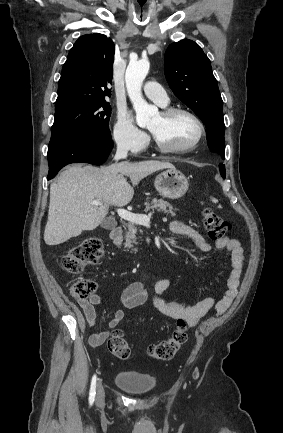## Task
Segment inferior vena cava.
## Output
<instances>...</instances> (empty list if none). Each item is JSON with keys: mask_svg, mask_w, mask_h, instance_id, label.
<instances>
[{"mask_svg": "<svg viewBox=\"0 0 283 433\" xmlns=\"http://www.w3.org/2000/svg\"><path fill=\"white\" fill-rule=\"evenodd\" d=\"M128 150V146H117L115 160H119V158H126Z\"/></svg>", "mask_w": 283, "mask_h": 433, "instance_id": "inferior-vena-cava-1", "label": "inferior vena cava"}]
</instances>
